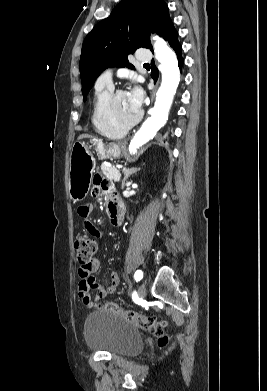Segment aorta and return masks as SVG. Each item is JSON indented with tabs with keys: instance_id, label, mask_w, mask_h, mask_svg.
I'll use <instances>...</instances> for the list:
<instances>
[{
	"instance_id": "obj_1",
	"label": "aorta",
	"mask_w": 267,
	"mask_h": 391,
	"mask_svg": "<svg viewBox=\"0 0 267 391\" xmlns=\"http://www.w3.org/2000/svg\"><path fill=\"white\" fill-rule=\"evenodd\" d=\"M153 40L162 81L156 93L154 107L149 111V117L131 140L133 152L152 139L167 122L170 107L180 81V71L175 53L163 39L154 37Z\"/></svg>"
}]
</instances>
